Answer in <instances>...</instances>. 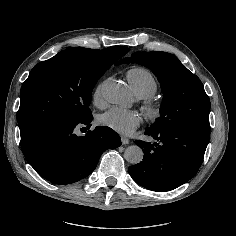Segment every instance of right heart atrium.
Wrapping results in <instances>:
<instances>
[{"mask_svg":"<svg viewBox=\"0 0 236 236\" xmlns=\"http://www.w3.org/2000/svg\"><path fill=\"white\" fill-rule=\"evenodd\" d=\"M101 89H102V84L101 85H99V87L95 90V92H94V100L95 101H99L100 99H101V97H102V95H101Z\"/></svg>","mask_w":236,"mask_h":236,"instance_id":"right-heart-atrium-1","label":"right heart atrium"}]
</instances>
